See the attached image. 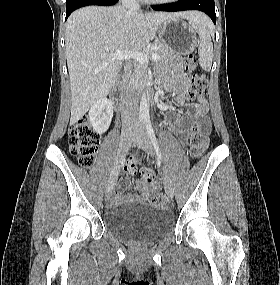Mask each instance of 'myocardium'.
Instances as JSON below:
<instances>
[{
    "mask_svg": "<svg viewBox=\"0 0 280 285\" xmlns=\"http://www.w3.org/2000/svg\"><path fill=\"white\" fill-rule=\"evenodd\" d=\"M149 1L156 4H170L176 2L177 0H149Z\"/></svg>",
    "mask_w": 280,
    "mask_h": 285,
    "instance_id": "1",
    "label": "myocardium"
}]
</instances>
